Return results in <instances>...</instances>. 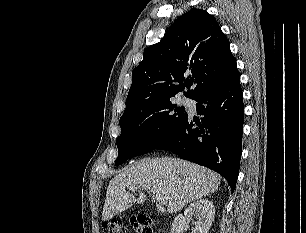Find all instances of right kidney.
I'll use <instances>...</instances> for the list:
<instances>
[{
    "label": "right kidney",
    "instance_id": "right-kidney-1",
    "mask_svg": "<svg viewBox=\"0 0 306 233\" xmlns=\"http://www.w3.org/2000/svg\"><path fill=\"white\" fill-rule=\"evenodd\" d=\"M215 215V207L208 199H200L190 204L184 211V215H178L171 227V233H183L184 228L193 217L196 218L192 233H208Z\"/></svg>",
    "mask_w": 306,
    "mask_h": 233
}]
</instances>
